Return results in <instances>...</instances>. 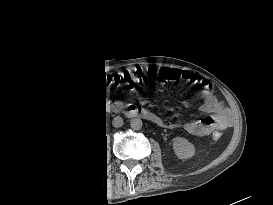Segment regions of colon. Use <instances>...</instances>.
Returning <instances> with one entry per match:
<instances>
[{
  "label": "colon",
  "mask_w": 273,
  "mask_h": 205,
  "mask_svg": "<svg viewBox=\"0 0 273 205\" xmlns=\"http://www.w3.org/2000/svg\"><path fill=\"white\" fill-rule=\"evenodd\" d=\"M162 81H168V77L165 75H162L161 77ZM109 80L113 83H115L116 85L119 86H134L136 83V76L132 73H126V74H122V75H114V76H110ZM214 137L219 138L220 135L219 133H214Z\"/></svg>",
  "instance_id": "1"
}]
</instances>
